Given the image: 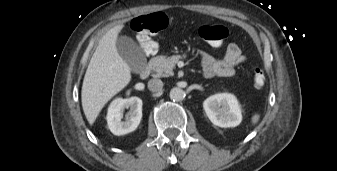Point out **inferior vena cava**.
Masks as SVG:
<instances>
[{
    "instance_id": "602c4592",
    "label": "inferior vena cava",
    "mask_w": 337,
    "mask_h": 171,
    "mask_svg": "<svg viewBox=\"0 0 337 171\" xmlns=\"http://www.w3.org/2000/svg\"><path fill=\"white\" fill-rule=\"evenodd\" d=\"M163 88V82L160 79H151L148 82V89L152 92H159Z\"/></svg>"
}]
</instances>
